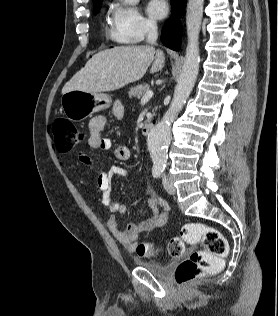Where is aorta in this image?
Returning <instances> with one entry per match:
<instances>
[{
    "label": "aorta",
    "mask_w": 278,
    "mask_h": 316,
    "mask_svg": "<svg viewBox=\"0 0 278 316\" xmlns=\"http://www.w3.org/2000/svg\"><path fill=\"white\" fill-rule=\"evenodd\" d=\"M138 0H124L131 5ZM204 0H188L186 25L188 45L183 69L175 88L170 107L163 115L161 122L157 123L147 137L148 150L153 162V168L164 170L167 162V151L171 142V123L182 109L189 97L199 71V33L203 17Z\"/></svg>",
    "instance_id": "obj_1"
}]
</instances>
